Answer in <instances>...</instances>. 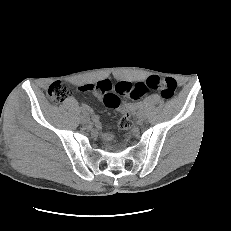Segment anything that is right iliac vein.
<instances>
[{"label": "right iliac vein", "mask_w": 231, "mask_h": 231, "mask_svg": "<svg viewBox=\"0 0 231 231\" xmlns=\"http://www.w3.org/2000/svg\"><path fill=\"white\" fill-rule=\"evenodd\" d=\"M81 120H82L83 123H89L90 122V118H89L87 113L82 114Z\"/></svg>", "instance_id": "obj_1"}]
</instances>
